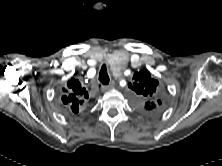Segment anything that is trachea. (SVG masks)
<instances>
[{"label":"trachea","instance_id":"obj_1","mask_svg":"<svg viewBox=\"0 0 222 166\" xmlns=\"http://www.w3.org/2000/svg\"><path fill=\"white\" fill-rule=\"evenodd\" d=\"M99 80L103 85H108L109 84V76L107 73V68L106 65H103L101 67L100 73H99Z\"/></svg>","mask_w":222,"mask_h":166}]
</instances>
